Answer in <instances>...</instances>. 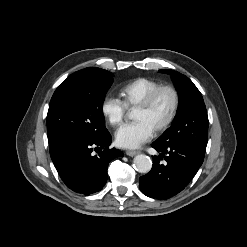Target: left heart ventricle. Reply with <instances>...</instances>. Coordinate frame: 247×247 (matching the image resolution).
I'll return each instance as SVG.
<instances>
[{"mask_svg": "<svg viewBox=\"0 0 247 247\" xmlns=\"http://www.w3.org/2000/svg\"><path fill=\"white\" fill-rule=\"evenodd\" d=\"M172 102V95L168 91H163L157 96L149 109L136 108L134 119L144 120L155 129L169 115L172 108Z\"/></svg>", "mask_w": 247, "mask_h": 247, "instance_id": "left-heart-ventricle-1", "label": "left heart ventricle"}]
</instances>
